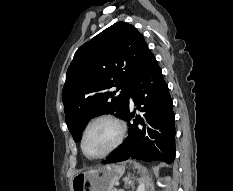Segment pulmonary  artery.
Wrapping results in <instances>:
<instances>
[{"instance_id": "pulmonary-artery-1", "label": "pulmonary artery", "mask_w": 233, "mask_h": 191, "mask_svg": "<svg viewBox=\"0 0 233 191\" xmlns=\"http://www.w3.org/2000/svg\"><path fill=\"white\" fill-rule=\"evenodd\" d=\"M130 103H131V104H133V100H132V98H130Z\"/></svg>"}]
</instances>
